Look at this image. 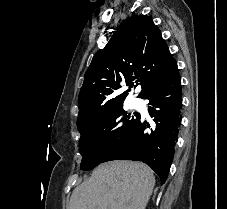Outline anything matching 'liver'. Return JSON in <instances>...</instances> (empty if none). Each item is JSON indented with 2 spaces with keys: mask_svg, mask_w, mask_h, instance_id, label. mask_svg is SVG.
<instances>
[{
  "mask_svg": "<svg viewBox=\"0 0 227 209\" xmlns=\"http://www.w3.org/2000/svg\"><path fill=\"white\" fill-rule=\"evenodd\" d=\"M154 185V175L143 163H103L74 189L69 209H145Z\"/></svg>",
  "mask_w": 227,
  "mask_h": 209,
  "instance_id": "liver-1",
  "label": "liver"
}]
</instances>
